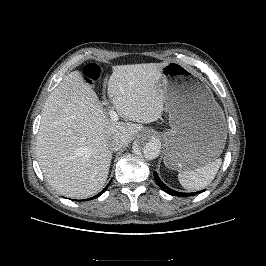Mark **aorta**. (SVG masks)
<instances>
[{"instance_id":"obj_1","label":"aorta","mask_w":266,"mask_h":266,"mask_svg":"<svg viewBox=\"0 0 266 266\" xmlns=\"http://www.w3.org/2000/svg\"><path fill=\"white\" fill-rule=\"evenodd\" d=\"M134 149L141 151L148 160H153L160 154L161 141L157 137L145 133L137 140Z\"/></svg>"}]
</instances>
